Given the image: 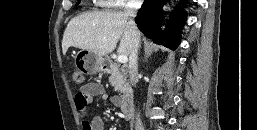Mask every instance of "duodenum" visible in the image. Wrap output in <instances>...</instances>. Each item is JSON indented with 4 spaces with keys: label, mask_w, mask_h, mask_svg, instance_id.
<instances>
[{
    "label": "duodenum",
    "mask_w": 257,
    "mask_h": 130,
    "mask_svg": "<svg viewBox=\"0 0 257 130\" xmlns=\"http://www.w3.org/2000/svg\"><path fill=\"white\" fill-rule=\"evenodd\" d=\"M103 69L106 71H112L114 69V65L110 60H104L103 61ZM120 110L122 115L125 118H129L132 115L133 112V92L129 87H126L122 99L120 102Z\"/></svg>",
    "instance_id": "obj_1"
}]
</instances>
